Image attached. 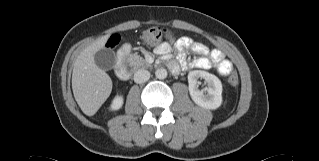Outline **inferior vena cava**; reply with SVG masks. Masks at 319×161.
I'll return each mask as SVG.
<instances>
[{
	"label": "inferior vena cava",
	"instance_id": "obj_1",
	"mask_svg": "<svg viewBox=\"0 0 319 161\" xmlns=\"http://www.w3.org/2000/svg\"><path fill=\"white\" fill-rule=\"evenodd\" d=\"M149 78H150L149 71L144 69H139L134 74V81L135 83H138V84L145 83L146 81L149 80Z\"/></svg>",
	"mask_w": 319,
	"mask_h": 161
}]
</instances>
